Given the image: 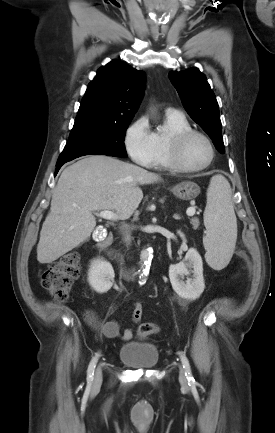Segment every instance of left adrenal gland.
<instances>
[{
    "mask_svg": "<svg viewBox=\"0 0 275 433\" xmlns=\"http://www.w3.org/2000/svg\"><path fill=\"white\" fill-rule=\"evenodd\" d=\"M173 217H174L175 219H177V220L180 219V217L177 216V215H174Z\"/></svg>",
    "mask_w": 275,
    "mask_h": 433,
    "instance_id": "obj_1",
    "label": "left adrenal gland"
}]
</instances>
